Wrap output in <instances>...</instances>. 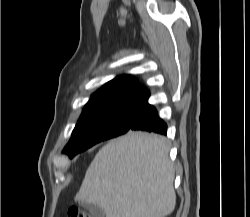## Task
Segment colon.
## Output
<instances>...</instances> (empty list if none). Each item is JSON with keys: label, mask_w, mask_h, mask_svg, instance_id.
I'll list each match as a JSON object with an SVG mask.
<instances>
[{"label": "colon", "mask_w": 250, "mask_h": 217, "mask_svg": "<svg viewBox=\"0 0 250 217\" xmlns=\"http://www.w3.org/2000/svg\"><path fill=\"white\" fill-rule=\"evenodd\" d=\"M67 217H91V216L88 213L78 208H72L68 211Z\"/></svg>", "instance_id": "1"}]
</instances>
